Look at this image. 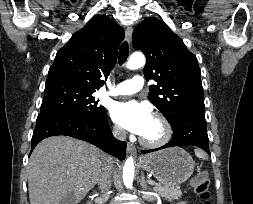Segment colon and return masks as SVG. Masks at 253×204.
Wrapping results in <instances>:
<instances>
[{"mask_svg": "<svg viewBox=\"0 0 253 204\" xmlns=\"http://www.w3.org/2000/svg\"><path fill=\"white\" fill-rule=\"evenodd\" d=\"M209 183V175L206 172H201L192 179L193 190L201 199L202 204H212Z\"/></svg>", "mask_w": 253, "mask_h": 204, "instance_id": "obj_1", "label": "colon"}]
</instances>
